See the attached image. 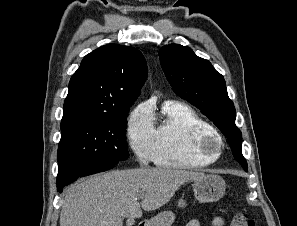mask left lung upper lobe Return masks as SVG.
Here are the masks:
<instances>
[{
	"mask_svg": "<svg viewBox=\"0 0 297 226\" xmlns=\"http://www.w3.org/2000/svg\"><path fill=\"white\" fill-rule=\"evenodd\" d=\"M162 69L175 93L199 108L231 142L235 159L247 171L242 134L235 125V107L223 76L189 47L170 44L159 52Z\"/></svg>",
	"mask_w": 297,
	"mask_h": 226,
	"instance_id": "obj_1",
	"label": "left lung upper lobe"
}]
</instances>
